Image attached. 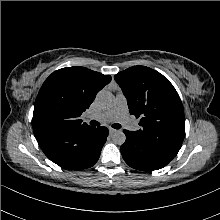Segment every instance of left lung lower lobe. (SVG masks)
Listing matches in <instances>:
<instances>
[{
    "label": "left lung lower lobe",
    "mask_w": 220,
    "mask_h": 220,
    "mask_svg": "<svg viewBox=\"0 0 220 220\" xmlns=\"http://www.w3.org/2000/svg\"><path fill=\"white\" fill-rule=\"evenodd\" d=\"M125 143L120 147L125 162L132 168L141 171L158 170L166 166L175 156L153 144L144 141L130 131H123Z\"/></svg>",
    "instance_id": "1"
}]
</instances>
